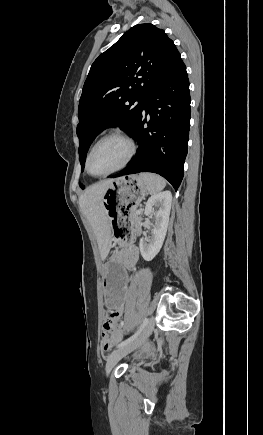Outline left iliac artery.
<instances>
[{
	"mask_svg": "<svg viewBox=\"0 0 263 435\" xmlns=\"http://www.w3.org/2000/svg\"><path fill=\"white\" fill-rule=\"evenodd\" d=\"M147 323H148V319L145 318L144 321H143V323H142V325H141L140 328L138 329V331H137L134 335H132L131 337H129L128 339H126L125 341L121 342V343L117 346V348L123 347V346L129 344L130 342H132L133 340H135V339L140 335V333L142 332V330L145 328V326L147 325Z\"/></svg>",
	"mask_w": 263,
	"mask_h": 435,
	"instance_id": "left-iliac-artery-1",
	"label": "left iliac artery"
}]
</instances>
